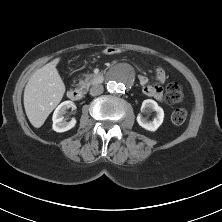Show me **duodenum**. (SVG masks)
Returning <instances> with one entry per match:
<instances>
[{
  "instance_id": "obj_1",
  "label": "duodenum",
  "mask_w": 222,
  "mask_h": 222,
  "mask_svg": "<svg viewBox=\"0 0 222 222\" xmlns=\"http://www.w3.org/2000/svg\"><path fill=\"white\" fill-rule=\"evenodd\" d=\"M104 80L103 74H98L93 77L92 83L95 85L101 84ZM67 96L72 101H79L84 97V92L80 88H70L67 92Z\"/></svg>"
}]
</instances>
